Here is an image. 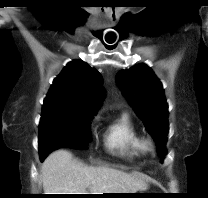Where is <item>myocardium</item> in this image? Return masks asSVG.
<instances>
[{
  "label": "myocardium",
  "instance_id": "1",
  "mask_svg": "<svg viewBox=\"0 0 208 198\" xmlns=\"http://www.w3.org/2000/svg\"><path fill=\"white\" fill-rule=\"evenodd\" d=\"M139 147H140L141 152L146 153V152H149L151 150L152 143L148 139L141 138Z\"/></svg>",
  "mask_w": 208,
  "mask_h": 198
}]
</instances>
